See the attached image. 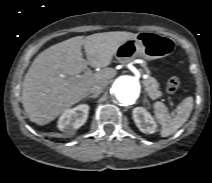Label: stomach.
<instances>
[{"mask_svg": "<svg viewBox=\"0 0 212 183\" xmlns=\"http://www.w3.org/2000/svg\"><path fill=\"white\" fill-rule=\"evenodd\" d=\"M175 48L176 42L173 38L156 32L143 31L125 41L117 50L115 57L121 63L137 56L145 60H154L169 56Z\"/></svg>", "mask_w": 212, "mask_h": 183, "instance_id": "0dacf381", "label": "stomach"}]
</instances>
